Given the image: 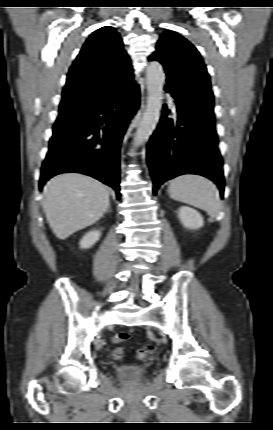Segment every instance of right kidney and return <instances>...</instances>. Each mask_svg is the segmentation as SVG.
<instances>
[{"label":"right kidney","mask_w":273,"mask_h":430,"mask_svg":"<svg viewBox=\"0 0 273 430\" xmlns=\"http://www.w3.org/2000/svg\"><path fill=\"white\" fill-rule=\"evenodd\" d=\"M101 232L99 230H92L83 236L80 241V247L82 249H88L92 247L100 238Z\"/></svg>","instance_id":"1"}]
</instances>
